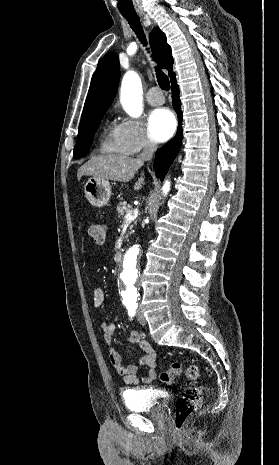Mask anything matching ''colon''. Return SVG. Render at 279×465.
Segmentation results:
<instances>
[{
    "label": "colon",
    "instance_id": "obj_1",
    "mask_svg": "<svg viewBox=\"0 0 279 465\" xmlns=\"http://www.w3.org/2000/svg\"><path fill=\"white\" fill-rule=\"evenodd\" d=\"M91 238L97 244L104 242L106 237V226L102 223H92L88 229ZM184 375L190 384L184 388L176 402V413L174 427L181 432L188 418L201 406L203 394L198 384L199 369L197 365L191 364L186 368L178 362H173L170 368L159 374V379L166 385H172L176 376Z\"/></svg>",
    "mask_w": 279,
    "mask_h": 465
}]
</instances>
